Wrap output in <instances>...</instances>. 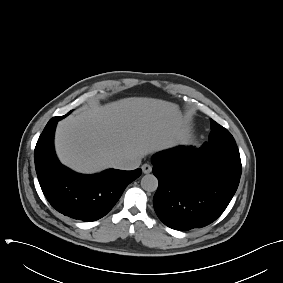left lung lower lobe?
<instances>
[{
  "label": "left lung lower lobe",
  "instance_id": "left-lung-lower-lobe-1",
  "mask_svg": "<svg viewBox=\"0 0 283 283\" xmlns=\"http://www.w3.org/2000/svg\"><path fill=\"white\" fill-rule=\"evenodd\" d=\"M152 163L159 181L153 198L155 212L165 225L182 231L204 227L223 213L237 190L242 169L240 155L208 146L161 151Z\"/></svg>",
  "mask_w": 283,
  "mask_h": 283
}]
</instances>
